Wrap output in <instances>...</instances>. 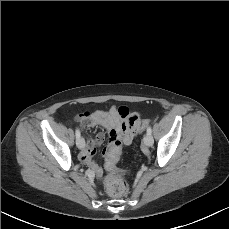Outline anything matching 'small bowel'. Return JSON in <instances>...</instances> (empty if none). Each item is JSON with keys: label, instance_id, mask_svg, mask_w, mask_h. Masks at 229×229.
Listing matches in <instances>:
<instances>
[{"label": "small bowel", "instance_id": "1", "mask_svg": "<svg viewBox=\"0 0 229 229\" xmlns=\"http://www.w3.org/2000/svg\"><path fill=\"white\" fill-rule=\"evenodd\" d=\"M133 115L136 114L129 108L120 107L111 108L109 111H95L93 113L83 112L77 114L74 118L82 129L101 126L105 128L109 134L113 131L116 133V139L109 142L104 152L105 169L109 172L115 170V152L121 151L122 144L128 145L132 142L134 134L126 130V127ZM103 140V134H99L95 138H87L84 147L79 153V159L98 173L99 166L92 160L91 154Z\"/></svg>", "mask_w": 229, "mask_h": 229}]
</instances>
